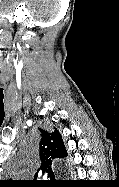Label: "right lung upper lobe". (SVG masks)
I'll return each mask as SVG.
<instances>
[{"mask_svg": "<svg viewBox=\"0 0 119 187\" xmlns=\"http://www.w3.org/2000/svg\"><path fill=\"white\" fill-rule=\"evenodd\" d=\"M40 171L43 173H52V162L55 158H65L67 156L62 137L57 129L49 133L46 130L40 129Z\"/></svg>", "mask_w": 119, "mask_h": 187, "instance_id": "cb5924a9", "label": "right lung upper lobe"}]
</instances>
